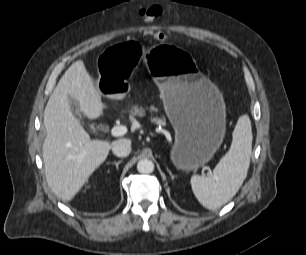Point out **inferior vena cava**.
<instances>
[{"mask_svg":"<svg viewBox=\"0 0 306 255\" xmlns=\"http://www.w3.org/2000/svg\"><path fill=\"white\" fill-rule=\"evenodd\" d=\"M112 152L118 157H127L131 152V141L120 139L113 143Z\"/></svg>","mask_w":306,"mask_h":255,"instance_id":"1","label":"inferior vena cava"}]
</instances>
